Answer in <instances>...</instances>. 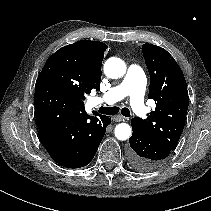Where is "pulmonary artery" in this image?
Masks as SVG:
<instances>
[{
  "instance_id": "1",
  "label": "pulmonary artery",
  "mask_w": 211,
  "mask_h": 211,
  "mask_svg": "<svg viewBox=\"0 0 211 211\" xmlns=\"http://www.w3.org/2000/svg\"><path fill=\"white\" fill-rule=\"evenodd\" d=\"M145 89L146 77L143 70L138 65H130L121 83L109 89L102 97L93 98L92 104L111 105L129 97L133 111L143 116L146 112L144 105Z\"/></svg>"
}]
</instances>
